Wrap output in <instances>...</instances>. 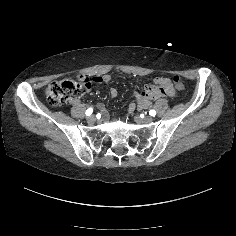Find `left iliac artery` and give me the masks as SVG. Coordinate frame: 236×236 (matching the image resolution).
Returning <instances> with one entry per match:
<instances>
[{
  "instance_id": "left-iliac-artery-1",
  "label": "left iliac artery",
  "mask_w": 236,
  "mask_h": 236,
  "mask_svg": "<svg viewBox=\"0 0 236 236\" xmlns=\"http://www.w3.org/2000/svg\"><path fill=\"white\" fill-rule=\"evenodd\" d=\"M149 114H150L151 116H155V115H156V111H155V110H150V111H149Z\"/></svg>"
}]
</instances>
